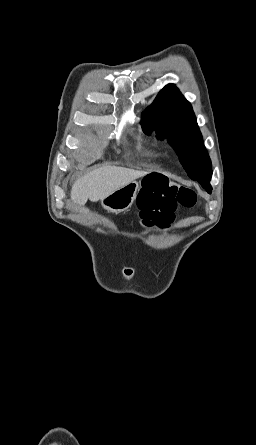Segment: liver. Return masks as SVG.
Segmentation results:
<instances>
[{"label":"liver","instance_id":"obj_1","mask_svg":"<svg viewBox=\"0 0 256 445\" xmlns=\"http://www.w3.org/2000/svg\"><path fill=\"white\" fill-rule=\"evenodd\" d=\"M146 174H148L146 171L104 166L76 180L71 189V199L80 206L88 199L92 202L101 201L112 192Z\"/></svg>","mask_w":256,"mask_h":445}]
</instances>
